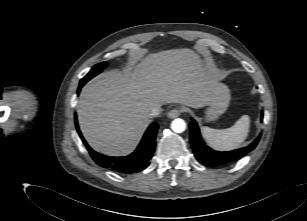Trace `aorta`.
I'll return each instance as SVG.
<instances>
[{
	"label": "aorta",
	"mask_w": 307,
	"mask_h": 221,
	"mask_svg": "<svg viewBox=\"0 0 307 221\" xmlns=\"http://www.w3.org/2000/svg\"><path fill=\"white\" fill-rule=\"evenodd\" d=\"M171 129L176 133H182L186 129V123L183 119H174L171 123Z\"/></svg>",
	"instance_id": "762f6f07"
}]
</instances>
